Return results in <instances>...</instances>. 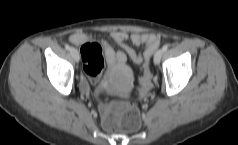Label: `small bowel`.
Instances as JSON below:
<instances>
[{"label": "small bowel", "mask_w": 238, "mask_h": 145, "mask_svg": "<svg viewBox=\"0 0 238 145\" xmlns=\"http://www.w3.org/2000/svg\"><path fill=\"white\" fill-rule=\"evenodd\" d=\"M110 37L123 48V51L115 52L105 40L82 32L73 33L70 36V41L76 45H83L88 41L99 42L102 54L109 64H123L129 57L135 64L142 65L144 75L141 80V87L143 91L147 90L150 87L149 64L159 44L158 37L152 33L133 32L129 34L122 30L112 31ZM127 41H130L135 46H144L143 54L136 52Z\"/></svg>", "instance_id": "small-bowel-1"}]
</instances>
